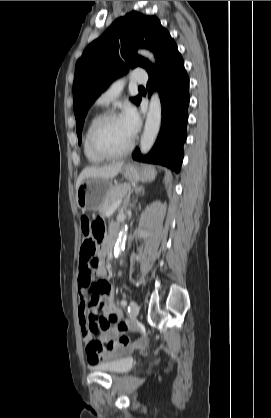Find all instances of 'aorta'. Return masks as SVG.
I'll use <instances>...</instances> for the list:
<instances>
[{"label": "aorta", "instance_id": "obj_1", "mask_svg": "<svg viewBox=\"0 0 271 418\" xmlns=\"http://www.w3.org/2000/svg\"><path fill=\"white\" fill-rule=\"evenodd\" d=\"M139 54L148 58L150 61L155 62L154 56L151 52L147 50H140ZM161 113H162V106L159 95L157 92H154L151 96L149 109L146 117V122L144 126V131L140 141V151L142 154H147L156 138L160 129L161 125ZM127 238V225L121 228L119 233V237L117 239L115 248H114V256L115 258L120 257L122 251L125 247V242Z\"/></svg>", "mask_w": 271, "mask_h": 418}]
</instances>
